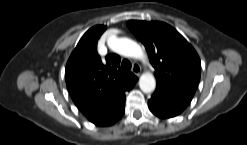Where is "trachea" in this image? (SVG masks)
Wrapping results in <instances>:
<instances>
[{"instance_id": "1", "label": "trachea", "mask_w": 247, "mask_h": 145, "mask_svg": "<svg viewBox=\"0 0 247 145\" xmlns=\"http://www.w3.org/2000/svg\"><path fill=\"white\" fill-rule=\"evenodd\" d=\"M121 66H122V69L123 70H130L131 69V63H130V61H128L127 59H124L123 61H122V64H121Z\"/></svg>"}]
</instances>
